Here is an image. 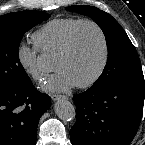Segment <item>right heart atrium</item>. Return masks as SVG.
<instances>
[{"label":"right heart atrium","instance_id":"1","mask_svg":"<svg viewBox=\"0 0 145 145\" xmlns=\"http://www.w3.org/2000/svg\"><path fill=\"white\" fill-rule=\"evenodd\" d=\"M16 57L21 69L35 81H43L47 70L41 65L39 50L34 46L20 43L16 49Z\"/></svg>","mask_w":145,"mask_h":145}]
</instances>
